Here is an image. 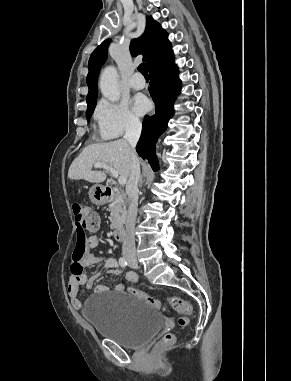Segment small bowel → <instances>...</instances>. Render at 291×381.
Returning <instances> with one entry per match:
<instances>
[{
    "mask_svg": "<svg viewBox=\"0 0 291 381\" xmlns=\"http://www.w3.org/2000/svg\"><path fill=\"white\" fill-rule=\"evenodd\" d=\"M86 245L89 249L98 248L100 246V238L96 235H91L86 239ZM82 265L86 267H91L100 263L104 264V267L115 275H119L121 273V269L119 268L115 259H107L105 261H101L94 257L90 252H86L83 254L81 258ZM127 281L131 283H136L138 281V275L135 272L126 273ZM97 280V276L86 277L83 274H75L73 273L70 276L68 284H67V292L71 302V305L74 309L79 310L83 306V301L80 298V288L81 286H86L88 288L92 287ZM125 288L124 283H118L115 286V290L117 292L123 291ZM108 290V287L105 284H98L95 287V291L97 293H102Z\"/></svg>",
    "mask_w": 291,
    "mask_h": 381,
    "instance_id": "small-bowel-1",
    "label": "small bowel"
}]
</instances>
